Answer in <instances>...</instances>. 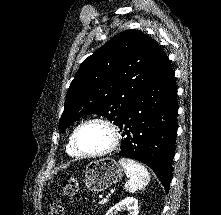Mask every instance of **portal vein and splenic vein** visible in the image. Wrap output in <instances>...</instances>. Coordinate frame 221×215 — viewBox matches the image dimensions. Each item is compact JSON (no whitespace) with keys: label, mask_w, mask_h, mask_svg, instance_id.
<instances>
[{"label":"portal vein and splenic vein","mask_w":221,"mask_h":215,"mask_svg":"<svg viewBox=\"0 0 221 215\" xmlns=\"http://www.w3.org/2000/svg\"><path fill=\"white\" fill-rule=\"evenodd\" d=\"M109 196H111V194H108L107 198H108ZM104 200H108V199H104Z\"/></svg>","instance_id":"18ae733b"}]
</instances>
